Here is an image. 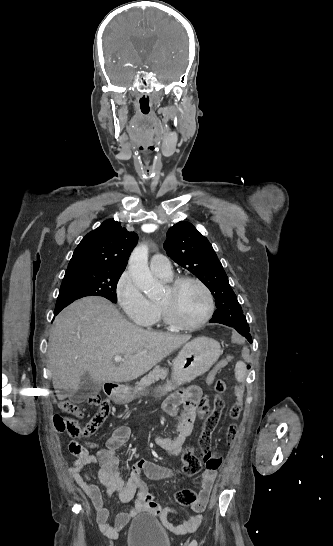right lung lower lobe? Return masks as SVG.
<instances>
[{"mask_svg": "<svg viewBox=\"0 0 333 546\" xmlns=\"http://www.w3.org/2000/svg\"><path fill=\"white\" fill-rule=\"evenodd\" d=\"M60 311H61V310H56V311L54 312V314L57 315Z\"/></svg>", "mask_w": 333, "mask_h": 546, "instance_id": "98d812e1", "label": "right lung lower lobe"}]
</instances>
